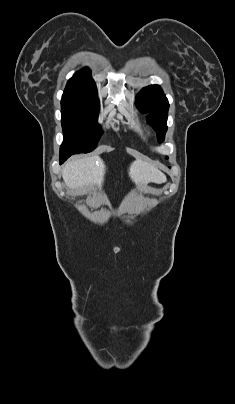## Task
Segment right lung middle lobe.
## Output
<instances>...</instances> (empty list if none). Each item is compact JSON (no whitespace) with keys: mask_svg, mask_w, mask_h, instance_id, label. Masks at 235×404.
<instances>
[{"mask_svg":"<svg viewBox=\"0 0 235 404\" xmlns=\"http://www.w3.org/2000/svg\"><path fill=\"white\" fill-rule=\"evenodd\" d=\"M61 113L64 142L60 156L92 151L102 134L97 124L99 103L62 99Z\"/></svg>","mask_w":235,"mask_h":404,"instance_id":"1","label":"right lung middle lobe"}]
</instances>
